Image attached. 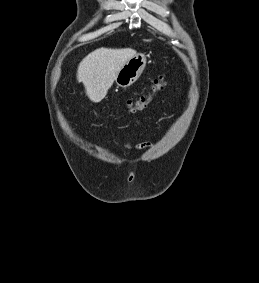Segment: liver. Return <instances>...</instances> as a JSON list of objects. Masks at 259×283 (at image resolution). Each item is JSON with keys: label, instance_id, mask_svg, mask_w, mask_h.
<instances>
[{"label": "liver", "instance_id": "liver-1", "mask_svg": "<svg viewBox=\"0 0 259 283\" xmlns=\"http://www.w3.org/2000/svg\"><path fill=\"white\" fill-rule=\"evenodd\" d=\"M135 55L131 48H99L88 54L77 70V80L83 83L88 98L94 103L103 100L120 69Z\"/></svg>", "mask_w": 259, "mask_h": 283}]
</instances>
